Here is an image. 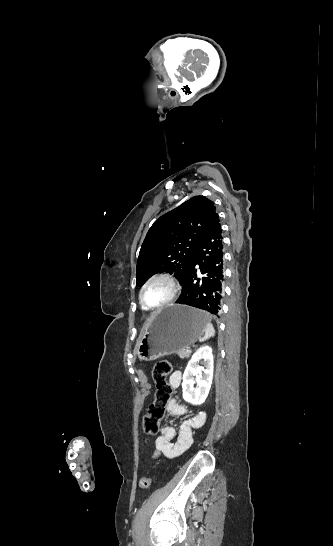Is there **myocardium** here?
Instances as JSON below:
<instances>
[{"label":"myocardium","mask_w":333,"mask_h":546,"mask_svg":"<svg viewBox=\"0 0 333 546\" xmlns=\"http://www.w3.org/2000/svg\"><path fill=\"white\" fill-rule=\"evenodd\" d=\"M157 280H163V281L167 282L170 285L171 295L163 303H161V304H159L157 306H149L146 303L145 299H144V291L152 282L157 281ZM179 291H180V284L177 281V279L171 273H169V272H157V273L151 275L144 282V284L142 285V287L140 289V292H139V300H140V303L142 304V306L144 308L150 309V310H156V309L163 308V307L169 305L170 303H172L175 300V298L177 297Z\"/></svg>","instance_id":"1"}]
</instances>
